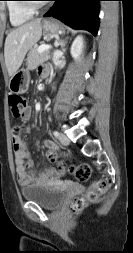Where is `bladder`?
Returning a JSON list of instances; mask_svg holds the SVG:
<instances>
[{
	"instance_id": "obj_1",
	"label": "bladder",
	"mask_w": 133,
	"mask_h": 253,
	"mask_svg": "<svg viewBox=\"0 0 133 253\" xmlns=\"http://www.w3.org/2000/svg\"><path fill=\"white\" fill-rule=\"evenodd\" d=\"M24 200L37 203L49 210L58 208L64 200V192L46 184L26 185L20 190Z\"/></svg>"
}]
</instances>
